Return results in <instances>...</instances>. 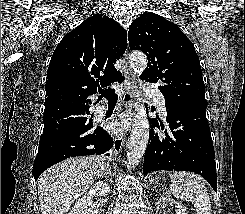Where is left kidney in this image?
<instances>
[{
	"instance_id": "5707ae66",
	"label": "left kidney",
	"mask_w": 245,
	"mask_h": 214,
	"mask_svg": "<svg viewBox=\"0 0 245 214\" xmlns=\"http://www.w3.org/2000/svg\"><path fill=\"white\" fill-rule=\"evenodd\" d=\"M173 206L175 208V213L173 214H187L185 212V209L183 208V205H181L179 202L171 199L169 196H162L157 201V208H156V214H170V210L167 211L165 209L166 205Z\"/></svg>"
}]
</instances>
